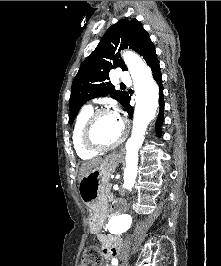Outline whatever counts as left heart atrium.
I'll use <instances>...</instances> for the list:
<instances>
[{
    "label": "left heart atrium",
    "instance_id": "left-heart-atrium-1",
    "mask_svg": "<svg viewBox=\"0 0 221 266\" xmlns=\"http://www.w3.org/2000/svg\"><path fill=\"white\" fill-rule=\"evenodd\" d=\"M112 114L119 122L122 123L121 116H120V113L118 111H114Z\"/></svg>",
    "mask_w": 221,
    "mask_h": 266
}]
</instances>
